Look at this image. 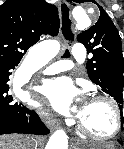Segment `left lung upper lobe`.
<instances>
[{
    "instance_id": "left-lung-upper-lobe-1",
    "label": "left lung upper lobe",
    "mask_w": 124,
    "mask_h": 149,
    "mask_svg": "<svg viewBox=\"0 0 124 149\" xmlns=\"http://www.w3.org/2000/svg\"><path fill=\"white\" fill-rule=\"evenodd\" d=\"M82 3L83 0H68ZM93 3L97 4L95 1ZM100 8V17L90 29L77 36L78 42L84 44L92 58L87 62V71L90 80L117 101L120 112L123 104L124 59L122 54L121 38L114 23ZM123 124V121L121 125ZM123 130V127L121 128Z\"/></svg>"
}]
</instances>
